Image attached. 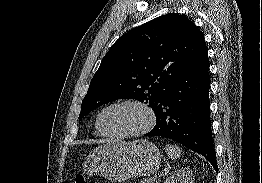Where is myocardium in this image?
I'll return each mask as SVG.
<instances>
[{"label": "myocardium", "instance_id": "obj_1", "mask_svg": "<svg viewBox=\"0 0 262 183\" xmlns=\"http://www.w3.org/2000/svg\"><path fill=\"white\" fill-rule=\"evenodd\" d=\"M121 105H133V106L139 107L142 110H144L147 115L146 125L139 130L124 133V134H113V133L107 132L102 126L103 114L110 108L121 106ZM156 121H157V118H156L155 111L148 103L142 100H137V99H122V100H118V101L108 104L99 112L97 116V120H96V126L103 136H106L111 139H126V138H131V137L142 136L150 132L156 125Z\"/></svg>", "mask_w": 262, "mask_h": 183}]
</instances>
